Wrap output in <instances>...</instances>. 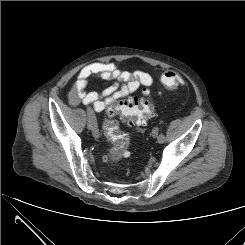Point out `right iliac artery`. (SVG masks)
<instances>
[{"label": "right iliac artery", "mask_w": 245, "mask_h": 245, "mask_svg": "<svg viewBox=\"0 0 245 245\" xmlns=\"http://www.w3.org/2000/svg\"><path fill=\"white\" fill-rule=\"evenodd\" d=\"M87 114H88V118L91 120L92 122V130H93V133L97 134L99 136V130H98V126H97V120H96V117L94 115V112L93 110L88 107L87 108Z\"/></svg>", "instance_id": "1"}]
</instances>
